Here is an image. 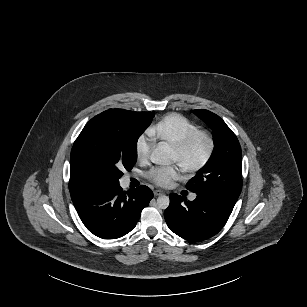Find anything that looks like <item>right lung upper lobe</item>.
I'll use <instances>...</instances> for the list:
<instances>
[{
  "mask_svg": "<svg viewBox=\"0 0 307 307\" xmlns=\"http://www.w3.org/2000/svg\"><path fill=\"white\" fill-rule=\"evenodd\" d=\"M137 117H139L141 120H149L152 119L154 116L153 112H134ZM86 186L85 184H82L80 182H76L73 179H70L69 182V190L70 193H74L76 190L83 188Z\"/></svg>",
  "mask_w": 307,
  "mask_h": 307,
  "instance_id": "right-lung-upper-lobe-1",
  "label": "right lung upper lobe"
}]
</instances>
